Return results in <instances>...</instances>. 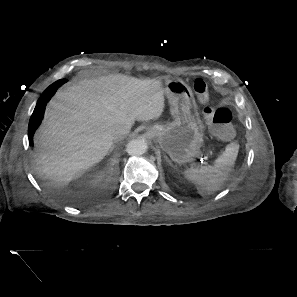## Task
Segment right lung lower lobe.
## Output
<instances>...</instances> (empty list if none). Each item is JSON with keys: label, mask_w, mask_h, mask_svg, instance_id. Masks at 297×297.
<instances>
[{"label": "right lung lower lobe", "mask_w": 297, "mask_h": 297, "mask_svg": "<svg viewBox=\"0 0 297 297\" xmlns=\"http://www.w3.org/2000/svg\"><path fill=\"white\" fill-rule=\"evenodd\" d=\"M53 94L43 93L39 98L37 105L34 109V112L31 116L29 126H28V137L30 140V144L33 145V136L37 128L40 126L41 121L44 116L45 106L47 102L50 100Z\"/></svg>", "instance_id": "obj_1"}]
</instances>
